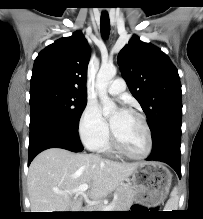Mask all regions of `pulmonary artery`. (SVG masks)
Returning a JSON list of instances; mask_svg holds the SVG:
<instances>
[{
	"label": "pulmonary artery",
	"mask_w": 203,
	"mask_h": 219,
	"mask_svg": "<svg viewBox=\"0 0 203 219\" xmlns=\"http://www.w3.org/2000/svg\"><path fill=\"white\" fill-rule=\"evenodd\" d=\"M126 84L122 78L115 79L107 88L111 95H120L125 91Z\"/></svg>",
	"instance_id": "obj_1"
}]
</instances>
